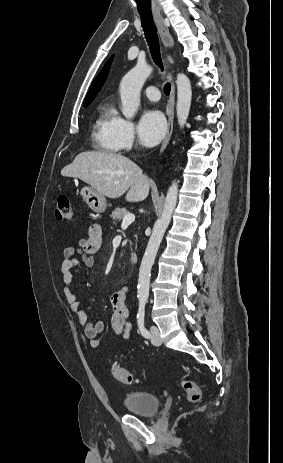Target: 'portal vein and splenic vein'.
Returning <instances> with one entry per match:
<instances>
[{
  "instance_id": "18ae733b",
  "label": "portal vein and splenic vein",
  "mask_w": 283,
  "mask_h": 463,
  "mask_svg": "<svg viewBox=\"0 0 283 463\" xmlns=\"http://www.w3.org/2000/svg\"><path fill=\"white\" fill-rule=\"evenodd\" d=\"M134 220H135V215L132 214V213H129L124 217V219L122 221V225L131 224L132 222H134Z\"/></svg>"
}]
</instances>
